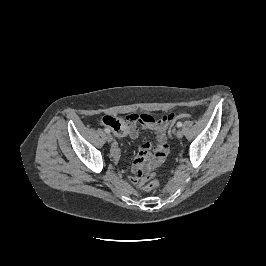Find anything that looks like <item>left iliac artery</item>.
<instances>
[{"mask_svg": "<svg viewBox=\"0 0 266 266\" xmlns=\"http://www.w3.org/2000/svg\"><path fill=\"white\" fill-rule=\"evenodd\" d=\"M177 127H178V128L182 127V122H178V123H177Z\"/></svg>", "mask_w": 266, "mask_h": 266, "instance_id": "left-iliac-artery-1", "label": "left iliac artery"}]
</instances>
